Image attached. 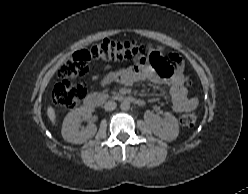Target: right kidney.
Returning <instances> with one entry per match:
<instances>
[{
	"label": "right kidney",
	"mask_w": 248,
	"mask_h": 194,
	"mask_svg": "<svg viewBox=\"0 0 248 194\" xmlns=\"http://www.w3.org/2000/svg\"><path fill=\"white\" fill-rule=\"evenodd\" d=\"M91 111L90 108L80 107L66 115L61 131L64 140L74 144H82L96 134L97 127L94 124L89 125L86 129H80L81 117Z\"/></svg>",
	"instance_id": "right-kidney-1"
}]
</instances>
